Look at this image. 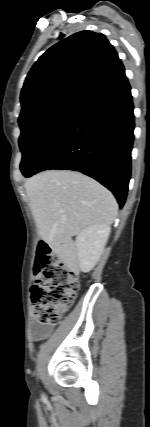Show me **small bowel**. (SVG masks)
Listing matches in <instances>:
<instances>
[{"label": "small bowel", "instance_id": "1", "mask_svg": "<svg viewBox=\"0 0 150 427\" xmlns=\"http://www.w3.org/2000/svg\"><path fill=\"white\" fill-rule=\"evenodd\" d=\"M50 330L47 327H43L40 325H34L31 327L30 336L33 341H40L46 338L49 334Z\"/></svg>", "mask_w": 150, "mask_h": 427}]
</instances>
